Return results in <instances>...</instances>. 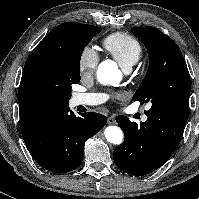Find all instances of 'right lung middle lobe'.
<instances>
[{
  "mask_svg": "<svg viewBox=\"0 0 199 199\" xmlns=\"http://www.w3.org/2000/svg\"><path fill=\"white\" fill-rule=\"evenodd\" d=\"M101 27L66 22L55 31L52 42L32 79L34 92L45 99L68 105L72 84L80 82V58Z\"/></svg>",
  "mask_w": 199,
  "mask_h": 199,
  "instance_id": "right-lung-middle-lobe-1",
  "label": "right lung middle lobe"
}]
</instances>
